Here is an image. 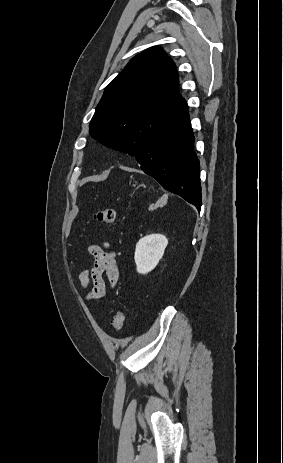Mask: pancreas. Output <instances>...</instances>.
Instances as JSON below:
<instances>
[{
	"instance_id": "cf45deb5",
	"label": "pancreas",
	"mask_w": 283,
	"mask_h": 463,
	"mask_svg": "<svg viewBox=\"0 0 283 463\" xmlns=\"http://www.w3.org/2000/svg\"><path fill=\"white\" fill-rule=\"evenodd\" d=\"M154 209H156V206H154V205H151V206L149 207V210H154Z\"/></svg>"
}]
</instances>
